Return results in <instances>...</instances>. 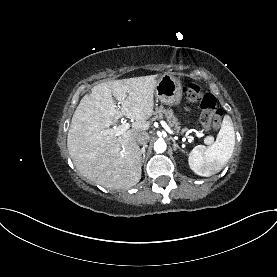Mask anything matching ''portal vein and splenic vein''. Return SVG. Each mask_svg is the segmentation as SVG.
Masks as SVG:
<instances>
[{
  "label": "portal vein and splenic vein",
  "instance_id": "obj_1",
  "mask_svg": "<svg viewBox=\"0 0 277 277\" xmlns=\"http://www.w3.org/2000/svg\"><path fill=\"white\" fill-rule=\"evenodd\" d=\"M160 124L162 125V127L167 131L169 132L170 134H175V135H178L179 133L173 131L171 129V127L164 121V120H160ZM130 128V123L126 122V121H123L121 125L117 126V127H114L111 129L112 133L115 135V136H120L123 132L127 131L128 129ZM197 136L198 137H202L204 136L203 133L201 132H198L197 133ZM213 137L211 136H207L204 140L205 144H211L213 142Z\"/></svg>",
  "mask_w": 277,
  "mask_h": 277
}]
</instances>
